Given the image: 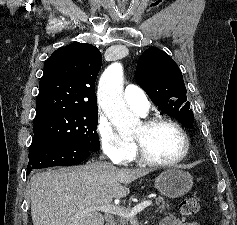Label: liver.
Instances as JSON below:
<instances>
[{"instance_id":"obj_1","label":"liver","mask_w":237,"mask_h":225,"mask_svg":"<svg viewBox=\"0 0 237 225\" xmlns=\"http://www.w3.org/2000/svg\"><path fill=\"white\" fill-rule=\"evenodd\" d=\"M150 171L92 162L36 173L30 187L33 225H104L96 207L127 196V184Z\"/></svg>"}]
</instances>
